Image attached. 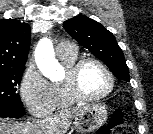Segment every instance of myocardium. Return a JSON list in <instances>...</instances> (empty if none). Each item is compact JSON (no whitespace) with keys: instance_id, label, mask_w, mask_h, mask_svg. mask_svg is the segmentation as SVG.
<instances>
[{"instance_id":"f54148a6","label":"myocardium","mask_w":153,"mask_h":134,"mask_svg":"<svg viewBox=\"0 0 153 134\" xmlns=\"http://www.w3.org/2000/svg\"><path fill=\"white\" fill-rule=\"evenodd\" d=\"M98 65L107 75L109 79V87L106 91L99 95H86L80 89L79 79L80 73L84 66L87 64ZM63 87L67 96L74 102H93L99 101L110 95L115 88V77L108 66L98 58L95 57H83L78 59L73 65H71L67 71L64 79L62 80Z\"/></svg>"}]
</instances>
